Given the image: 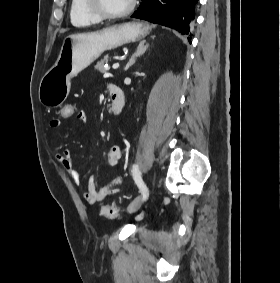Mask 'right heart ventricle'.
<instances>
[{
	"label": "right heart ventricle",
	"instance_id": "e07e8e85",
	"mask_svg": "<svg viewBox=\"0 0 280 283\" xmlns=\"http://www.w3.org/2000/svg\"><path fill=\"white\" fill-rule=\"evenodd\" d=\"M70 19L71 23L76 27H87L100 21L97 16L87 9L85 0H71Z\"/></svg>",
	"mask_w": 280,
	"mask_h": 283
}]
</instances>
